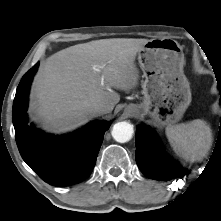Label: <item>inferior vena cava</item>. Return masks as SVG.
<instances>
[{"label":"inferior vena cava","mask_w":221,"mask_h":221,"mask_svg":"<svg viewBox=\"0 0 221 221\" xmlns=\"http://www.w3.org/2000/svg\"><path fill=\"white\" fill-rule=\"evenodd\" d=\"M89 117H97L107 112V108L103 104H92L86 108Z\"/></svg>","instance_id":"1"}]
</instances>
